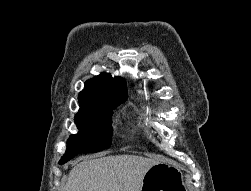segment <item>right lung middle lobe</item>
Returning a JSON list of instances; mask_svg holds the SVG:
<instances>
[{"label":"right lung middle lobe","mask_w":251,"mask_h":191,"mask_svg":"<svg viewBox=\"0 0 251 191\" xmlns=\"http://www.w3.org/2000/svg\"><path fill=\"white\" fill-rule=\"evenodd\" d=\"M119 104L80 109L74 120L79 133L67 140V149L59 161L63 164L79 153L98 152L111 145L112 114Z\"/></svg>","instance_id":"obj_1"}]
</instances>
